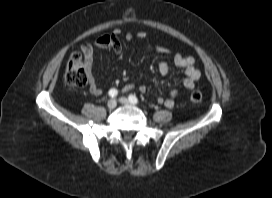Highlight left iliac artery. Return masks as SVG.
<instances>
[{
    "mask_svg": "<svg viewBox=\"0 0 272 198\" xmlns=\"http://www.w3.org/2000/svg\"><path fill=\"white\" fill-rule=\"evenodd\" d=\"M129 101L133 104H137L138 103V99L135 95H130L129 96Z\"/></svg>",
    "mask_w": 272,
    "mask_h": 198,
    "instance_id": "left-iliac-artery-1",
    "label": "left iliac artery"
}]
</instances>
